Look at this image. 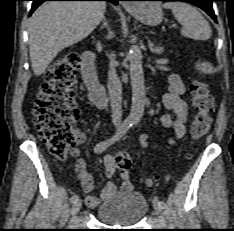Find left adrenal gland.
<instances>
[{
	"mask_svg": "<svg viewBox=\"0 0 234 231\" xmlns=\"http://www.w3.org/2000/svg\"><path fill=\"white\" fill-rule=\"evenodd\" d=\"M148 47L152 53L160 54L163 51V48L160 46H155L154 43L147 37Z\"/></svg>",
	"mask_w": 234,
	"mask_h": 231,
	"instance_id": "left-adrenal-gland-1",
	"label": "left adrenal gland"
}]
</instances>
